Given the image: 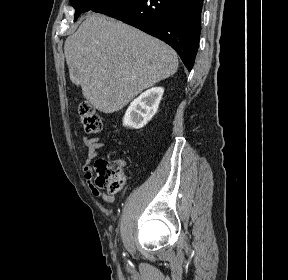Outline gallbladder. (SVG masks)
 Returning <instances> with one entry per match:
<instances>
[{
  "mask_svg": "<svg viewBox=\"0 0 288 280\" xmlns=\"http://www.w3.org/2000/svg\"><path fill=\"white\" fill-rule=\"evenodd\" d=\"M75 74L77 73V70L76 69H74V71H73Z\"/></svg>",
  "mask_w": 288,
  "mask_h": 280,
  "instance_id": "1",
  "label": "gallbladder"
}]
</instances>
